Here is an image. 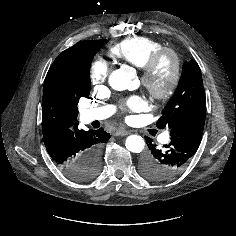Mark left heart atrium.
Segmentation results:
<instances>
[{
	"instance_id": "1",
	"label": "left heart atrium",
	"mask_w": 236,
	"mask_h": 236,
	"mask_svg": "<svg viewBox=\"0 0 236 236\" xmlns=\"http://www.w3.org/2000/svg\"><path fill=\"white\" fill-rule=\"evenodd\" d=\"M144 106V100L140 96H133L126 100L125 107L128 109H140Z\"/></svg>"
}]
</instances>
